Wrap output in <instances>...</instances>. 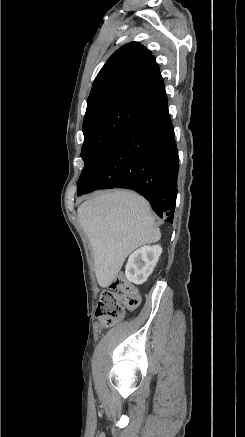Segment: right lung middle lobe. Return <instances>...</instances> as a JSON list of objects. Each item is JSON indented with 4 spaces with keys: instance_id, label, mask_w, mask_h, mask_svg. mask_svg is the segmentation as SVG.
I'll use <instances>...</instances> for the list:
<instances>
[{
    "instance_id": "obj_1",
    "label": "right lung middle lobe",
    "mask_w": 245,
    "mask_h": 437,
    "mask_svg": "<svg viewBox=\"0 0 245 437\" xmlns=\"http://www.w3.org/2000/svg\"><path fill=\"white\" fill-rule=\"evenodd\" d=\"M140 111V108L125 102L100 105L85 114L83 121L84 143L81 158L85 166L78 186L88 177L99 160L108 151L124 126Z\"/></svg>"
}]
</instances>
